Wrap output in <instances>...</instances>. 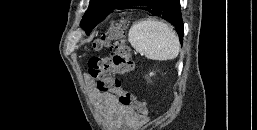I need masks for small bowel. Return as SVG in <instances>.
<instances>
[{
	"label": "small bowel",
	"mask_w": 257,
	"mask_h": 130,
	"mask_svg": "<svg viewBox=\"0 0 257 130\" xmlns=\"http://www.w3.org/2000/svg\"><path fill=\"white\" fill-rule=\"evenodd\" d=\"M86 82L95 100L115 126L136 130L145 123V117L137 114L132 108L119 104L114 95L98 92L90 77L86 78Z\"/></svg>",
	"instance_id": "c3829d8e"
}]
</instances>
